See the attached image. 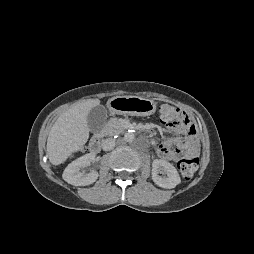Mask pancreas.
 I'll return each mask as SVG.
<instances>
[{"mask_svg":"<svg viewBox=\"0 0 254 254\" xmlns=\"http://www.w3.org/2000/svg\"><path fill=\"white\" fill-rule=\"evenodd\" d=\"M108 127L110 130V134H116L123 131V127L121 122L118 119H113L108 122Z\"/></svg>","mask_w":254,"mask_h":254,"instance_id":"pancreas-1","label":"pancreas"}]
</instances>
